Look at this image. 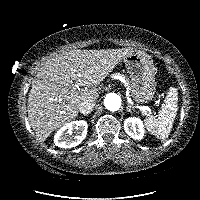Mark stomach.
<instances>
[{"mask_svg":"<svg viewBox=\"0 0 200 200\" xmlns=\"http://www.w3.org/2000/svg\"><path fill=\"white\" fill-rule=\"evenodd\" d=\"M130 76V92L138 103L149 102L155 94V66L150 55L133 50L123 58Z\"/></svg>","mask_w":200,"mask_h":200,"instance_id":"1","label":"stomach"}]
</instances>
